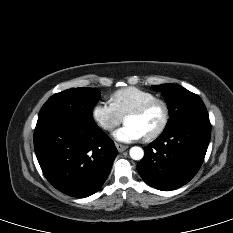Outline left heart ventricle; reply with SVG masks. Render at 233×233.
Masks as SVG:
<instances>
[{
    "label": "left heart ventricle",
    "instance_id": "b2bd125f",
    "mask_svg": "<svg viewBox=\"0 0 233 233\" xmlns=\"http://www.w3.org/2000/svg\"><path fill=\"white\" fill-rule=\"evenodd\" d=\"M162 119L163 108L161 105L156 104L142 115L127 117L125 123L133 124L142 132L143 136H147L159 127Z\"/></svg>",
    "mask_w": 233,
    "mask_h": 233
}]
</instances>
